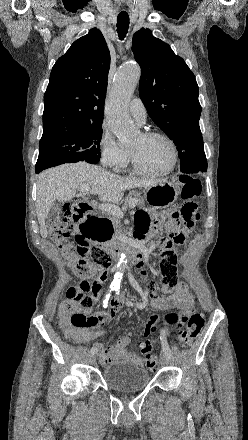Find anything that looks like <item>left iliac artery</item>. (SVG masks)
<instances>
[{
  "mask_svg": "<svg viewBox=\"0 0 248 440\" xmlns=\"http://www.w3.org/2000/svg\"><path fill=\"white\" fill-rule=\"evenodd\" d=\"M115 290H116V294L119 295V293H120L119 289L117 288ZM160 340H161L162 350H163L164 354H166L169 358H171L172 352H171L169 345L167 343V339H166L164 331L161 332Z\"/></svg>",
  "mask_w": 248,
  "mask_h": 440,
  "instance_id": "1",
  "label": "left iliac artery"
}]
</instances>
